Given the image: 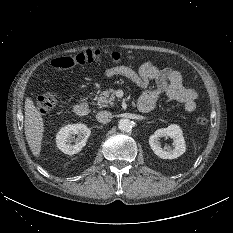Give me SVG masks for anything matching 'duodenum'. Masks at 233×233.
Listing matches in <instances>:
<instances>
[{"mask_svg": "<svg viewBox=\"0 0 233 233\" xmlns=\"http://www.w3.org/2000/svg\"><path fill=\"white\" fill-rule=\"evenodd\" d=\"M138 109L141 112H148L149 108L147 106L144 105H139ZM73 112L77 115V116H85L88 114L89 112V104L87 101V98H81L80 100H78L74 107H73Z\"/></svg>", "mask_w": 233, "mask_h": 233, "instance_id": "410a0bca", "label": "duodenum"}]
</instances>
